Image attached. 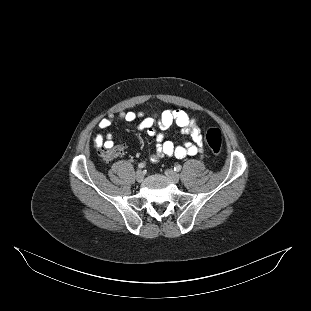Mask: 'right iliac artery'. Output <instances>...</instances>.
Returning a JSON list of instances; mask_svg holds the SVG:
<instances>
[{"instance_id": "1", "label": "right iliac artery", "mask_w": 311, "mask_h": 311, "mask_svg": "<svg viewBox=\"0 0 311 311\" xmlns=\"http://www.w3.org/2000/svg\"><path fill=\"white\" fill-rule=\"evenodd\" d=\"M144 167H145V163H139V164H138V168L142 169V168H144Z\"/></svg>"}]
</instances>
